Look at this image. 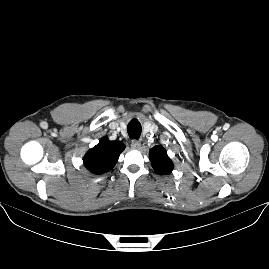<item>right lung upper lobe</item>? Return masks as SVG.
Instances as JSON below:
<instances>
[{"mask_svg":"<svg viewBox=\"0 0 269 269\" xmlns=\"http://www.w3.org/2000/svg\"><path fill=\"white\" fill-rule=\"evenodd\" d=\"M125 149L120 141H110L104 137L84 158L85 167L94 174H103L111 170L119 155Z\"/></svg>","mask_w":269,"mask_h":269,"instance_id":"1","label":"right lung upper lobe"}]
</instances>
